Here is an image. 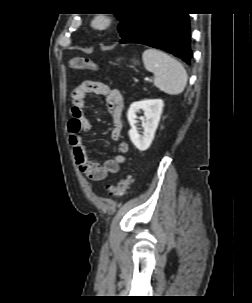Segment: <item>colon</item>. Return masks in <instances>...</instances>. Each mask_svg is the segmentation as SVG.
<instances>
[{"label":"colon","mask_w":252,"mask_h":303,"mask_svg":"<svg viewBox=\"0 0 252 303\" xmlns=\"http://www.w3.org/2000/svg\"><path fill=\"white\" fill-rule=\"evenodd\" d=\"M69 66L72 69H78V70H89V71L98 70V66L96 63L85 58H73L70 60ZM131 182H132V177L125 176L122 179H120L116 184L108 185L107 191L109 195L112 197H121L127 192V190L131 185Z\"/></svg>","instance_id":"1"}]
</instances>
